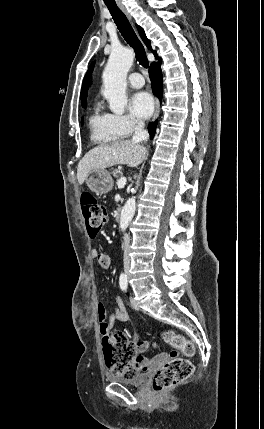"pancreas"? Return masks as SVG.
I'll return each instance as SVG.
<instances>
[{"label": "pancreas", "instance_id": "obj_1", "mask_svg": "<svg viewBox=\"0 0 264 429\" xmlns=\"http://www.w3.org/2000/svg\"><path fill=\"white\" fill-rule=\"evenodd\" d=\"M113 176L118 180L120 177H122V172L119 170H114Z\"/></svg>", "mask_w": 264, "mask_h": 429}]
</instances>
